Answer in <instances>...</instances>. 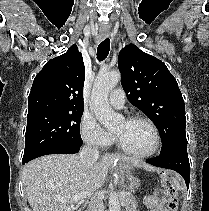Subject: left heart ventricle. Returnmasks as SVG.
I'll use <instances>...</instances> for the list:
<instances>
[{
	"label": "left heart ventricle",
	"mask_w": 209,
	"mask_h": 211,
	"mask_svg": "<svg viewBox=\"0 0 209 211\" xmlns=\"http://www.w3.org/2000/svg\"><path fill=\"white\" fill-rule=\"evenodd\" d=\"M122 145L134 153L149 151L154 144V135L148 124L141 121L123 120L114 129Z\"/></svg>",
	"instance_id": "left-heart-ventricle-1"
}]
</instances>
